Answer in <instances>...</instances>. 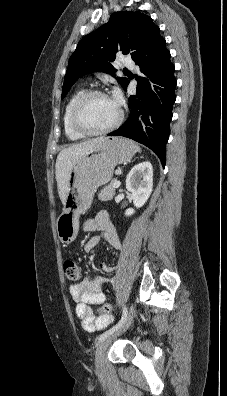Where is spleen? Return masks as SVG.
Returning <instances> with one entry per match:
<instances>
[{"mask_svg": "<svg viewBox=\"0 0 227 396\" xmlns=\"http://www.w3.org/2000/svg\"><path fill=\"white\" fill-rule=\"evenodd\" d=\"M137 151H138V152H141V149H140V147H139V146H137Z\"/></svg>", "mask_w": 227, "mask_h": 396, "instance_id": "3e777b00", "label": "spleen"}]
</instances>
